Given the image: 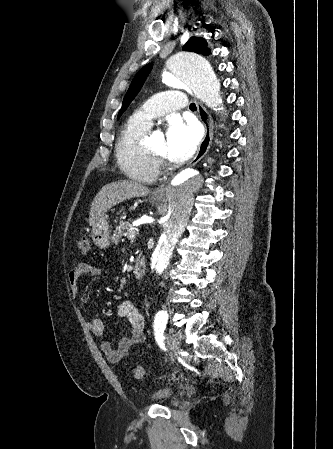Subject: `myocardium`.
Returning <instances> with one entry per match:
<instances>
[{
  "label": "myocardium",
  "mask_w": 333,
  "mask_h": 449,
  "mask_svg": "<svg viewBox=\"0 0 333 449\" xmlns=\"http://www.w3.org/2000/svg\"><path fill=\"white\" fill-rule=\"evenodd\" d=\"M148 152L150 154V156L160 165V164H165L166 163V157L162 156V155H158L155 152H153L152 150L148 149Z\"/></svg>",
  "instance_id": "myocardium-1"
}]
</instances>
